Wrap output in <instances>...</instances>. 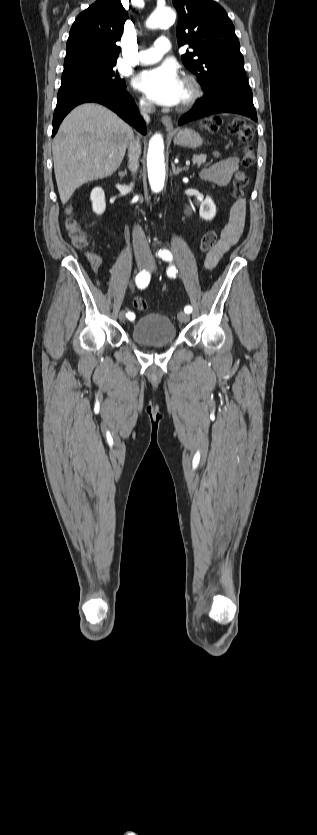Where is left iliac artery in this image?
I'll use <instances>...</instances> for the list:
<instances>
[{"mask_svg": "<svg viewBox=\"0 0 317 835\" xmlns=\"http://www.w3.org/2000/svg\"><path fill=\"white\" fill-rule=\"evenodd\" d=\"M158 255L165 261L172 262V260H173V256H172L171 252L167 249L160 250ZM176 273H177V269L173 265H171L167 270V275L169 277L175 278ZM184 311L186 313H191L192 312V307L190 305H187V306H185Z\"/></svg>", "mask_w": 317, "mask_h": 835, "instance_id": "44dca946", "label": "left iliac artery"}]
</instances>
